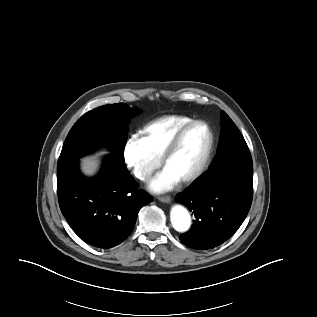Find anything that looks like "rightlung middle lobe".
Masks as SVG:
<instances>
[{
	"mask_svg": "<svg viewBox=\"0 0 317 317\" xmlns=\"http://www.w3.org/2000/svg\"><path fill=\"white\" fill-rule=\"evenodd\" d=\"M125 103L98 107L84 114L70 130L57 165L59 172L78 162V159L94 152L100 146H107L111 154L124 161V147L127 141V126L124 121L137 113Z\"/></svg>",
	"mask_w": 317,
	"mask_h": 317,
	"instance_id": "1",
	"label": "right lung middle lobe"
}]
</instances>
